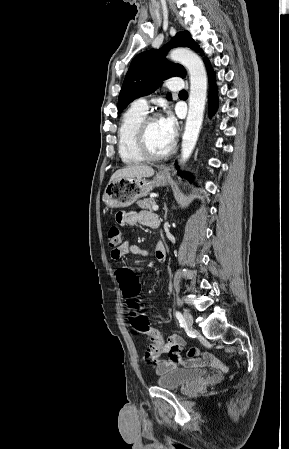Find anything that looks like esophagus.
I'll list each match as a JSON object with an SVG mask.
<instances>
[{
	"label": "esophagus",
	"mask_w": 289,
	"mask_h": 449,
	"mask_svg": "<svg viewBox=\"0 0 289 449\" xmlns=\"http://www.w3.org/2000/svg\"><path fill=\"white\" fill-rule=\"evenodd\" d=\"M163 171H164V172H169V168H168V167H165V168L163 169Z\"/></svg>",
	"instance_id": "1"
}]
</instances>
